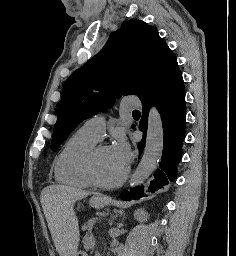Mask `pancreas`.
<instances>
[{
	"label": "pancreas",
	"mask_w": 236,
	"mask_h": 256,
	"mask_svg": "<svg viewBox=\"0 0 236 256\" xmlns=\"http://www.w3.org/2000/svg\"><path fill=\"white\" fill-rule=\"evenodd\" d=\"M84 232H87V236H85V238L82 239L83 242V247H93V243L97 242L96 238H88V236H92V231H91V227L90 225H87V227L83 228Z\"/></svg>",
	"instance_id": "pancreas-1"
}]
</instances>
